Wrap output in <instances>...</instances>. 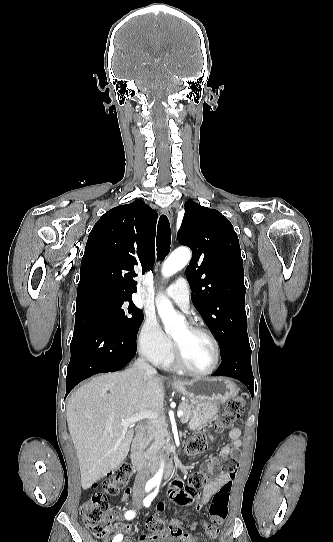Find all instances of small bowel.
<instances>
[{
    "instance_id": "1",
    "label": "small bowel",
    "mask_w": 333,
    "mask_h": 542,
    "mask_svg": "<svg viewBox=\"0 0 333 542\" xmlns=\"http://www.w3.org/2000/svg\"><path fill=\"white\" fill-rule=\"evenodd\" d=\"M207 436L208 438L213 441L214 437L210 432V426L207 428ZM228 437L230 440V444L227 446H224L221 451L219 457L226 458V457H232L234 456L235 461L241 460V455L236 454L238 450L240 449L242 445V441L240 439L241 437V429L239 427H233L229 433ZM217 455H215L213 458L217 460L219 458ZM207 471L211 472L213 471V466L211 462L207 466ZM231 477L226 474H219L217 478L213 481H210L207 483L203 489L202 496H201V504L204 505L207 503L209 498L224 484L230 483ZM133 491L131 488H127L124 491L123 496L121 497V503H124L128 500V498L132 495ZM167 497L170 501L177 505H188L190 503V496L189 494L184 490V479L181 477H173L168 482V487L166 490ZM172 525L180 527L179 522L177 520H174L172 522ZM194 527V525H192ZM119 529L123 533H128L132 531V526L129 524H121L119 526ZM117 530L113 529L109 533L110 539H115L117 535ZM175 538V537H174ZM179 539V538H177ZM141 542L145 541V537H140ZM180 540V539H179ZM181 541V540H180ZM182 542V541H181Z\"/></svg>"
}]
</instances>
